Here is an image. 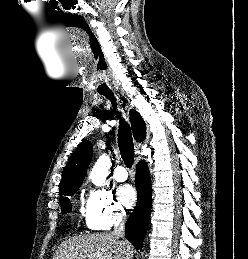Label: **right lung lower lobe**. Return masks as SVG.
Wrapping results in <instances>:
<instances>
[{
    "label": "right lung lower lobe",
    "instance_id": "right-lung-lower-lobe-1",
    "mask_svg": "<svg viewBox=\"0 0 248 259\" xmlns=\"http://www.w3.org/2000/svg\"><path fill=\"white\" fill-rule=\"evenodd\" d=\"M135 184L138 192V200L127 220L125 236L136 249H141L147 232L152 206L150 174L144 161H140L137 165Z\"/></svg>",
    "mask_w": 248,
    "mask_h": 259
}]
</instances>
